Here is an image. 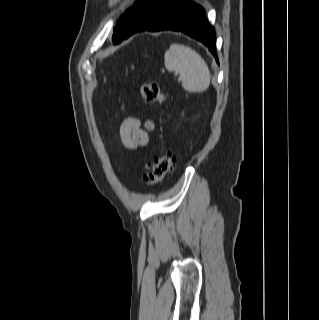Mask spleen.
<instances>
[{
	"label": "spleen",
	"instance_id": "spleen-1",
	"mask_svg": "<svg viewBox=\"0 0 319 320\" xmlns=\"http://www.w3.org/2000/svg\"><path fill=\"white\" fill-rule=\"evenodd\" d=\"M168 71L179 73L182 87L191 93L205 91L210 84V71L204 59L185 45L172 44L164 55Z\"/></svg>",
	"mask_w": 319,
	"mask_h": 320
}]
</instances>
